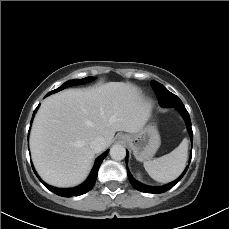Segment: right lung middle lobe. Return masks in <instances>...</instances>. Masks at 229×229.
<instances>
[{"label":"right lung middle lobe","instance_id":"obj_1","mask_svg":"<svg viewBox=\"0 0 229 229\" xmlns=\"http://www.w3.org/2000/svg\"><path fill=\"white\" fill-rule=\"evenodd\" d=\"M92 79H93L92 77H86V78H83V79H75V80L68 81V82L64 83L62 86H60L59 88L49 92L48 95L56 93L58 91H61V90L65 89L67 87H70V86L84 84L86 82H89Z\"/></svg>","mask_w":229,"mask_h":229}]
</instances>
